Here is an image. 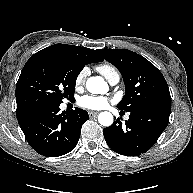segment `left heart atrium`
<instances>
[{"label": "left heart atrium", "mask_w": 193, "mask_h": 193, "mask_svg": "<svg viewBox=\"0 0 193 193\" xmlns=\"http://www.w3.org/2000/svg\"><path fill=\"white\" fill-rule=\"evenodd\" d=\"M109 103V99L104 96L85 95L78 100L80 107L90 110L104 109Z\"/></svg>", "instance_id": "obj_1"}]
</instances>
